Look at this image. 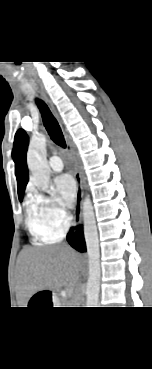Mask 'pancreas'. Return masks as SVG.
Instances as JSON below:
<instances>
[{
	"instance_id": "1",
	"label": "pancreas",
	"mask_w": 152,
	"mask_h": 369,
	"mask_svg": "<svg viewBox=\"0 0 152 369\" xmlns=\"http://www.w3.org/2000/svg\"><path fill=\"white\" fill-rule=\"evenodd\" d=\"M72 303H74V304H79V298H78V297H76L75 299H73V300H72Z\"/></svg>"
}]
</instances>
